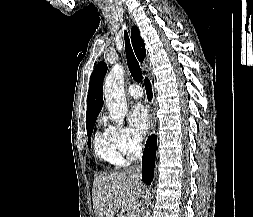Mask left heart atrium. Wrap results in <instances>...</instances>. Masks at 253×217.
I'll list each match as a JSON object with an SVG mask.
<instances>
[{"instance_id":"left-heart-atrium-1","label":"left heart atrium","mask_w":253,"mask_h":217,"mask_svg":"<svg viewBox=\"0 0 253 217\" xmlns=\"http://www.w3.org/2000/svg\"><path fill=\"white\" fill-rule=\"evenodd\" d=\"M129 122L134 131L140 135L148 131L150 127V117L144 105L141 103L134 105L129 115Z\"/></svg>"}]
</instances>
